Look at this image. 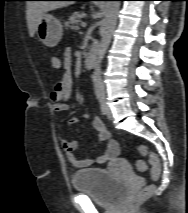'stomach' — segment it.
Returning a JSON list of instances; mask_svg holds the SVG:
<instances>
[{
  "label": "stomach",
  "mask_w": 188,
  "mask_h": 213,
  "mask_svg": "<svg viewBox=\"0 0 188 213\" xmlns=\"http://www.w3.org/2000/svg\"><path fill=\"white\" fill-rule=\"evenodd\" d=\"M36 34L38 39L48 47L56 46L63 35L62 23L50 14H45L40 19Z\"/></svg>",
  "instance_id": "0dacf381"
}]
</instances>
